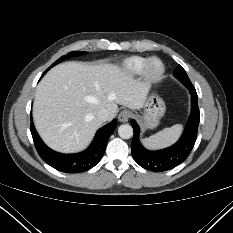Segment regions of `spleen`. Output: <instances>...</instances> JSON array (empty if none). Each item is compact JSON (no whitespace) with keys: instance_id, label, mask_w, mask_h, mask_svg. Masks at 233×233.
Returning a JSON list of instances; mask_svg holds the SVG:
<instances>
[{"instance_id":"3e777b00","label":"spleen","mask_w":233,"mask_h":233,"mask_svg":"<svg viewBox=\"0 0 233 233\" xmlns=\"http://www.w3.org/2000/svg\"><path fill=\"white\" fill-rule=\"evenodd\" d=\"M182 130L183 126L176 124L170 128H164L148 138H143L141 142L148 149L164 148L176 142Z\"/></svg>"}]
</instances>
